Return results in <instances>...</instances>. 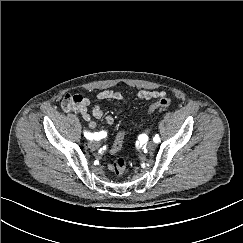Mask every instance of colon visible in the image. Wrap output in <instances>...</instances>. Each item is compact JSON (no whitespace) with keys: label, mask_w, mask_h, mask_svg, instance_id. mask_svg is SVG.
Here are the masks:
<instances>
[{"label":"colon","mask_w":243,"mask_h":243,"mask_svg":"<svg viewBox=\"0 0 243 243\" xmlns=\"http://www.w3.org/2000/svg\"><path fill=\"white\" fill-rule=\"evenodd\" d=\"M83 101V97L81 95L75 94H67L62 102V106L66 111H74ZM173 100L171 97H162L155 103H153L150 107L148 112L152 113L157 109L168 107L172 104ZM125 135L124 133L118 134L116 137L113 146H112V153L117 154L124 142ZM127 168V160L124 156H118L114 163H113V171L116 175L120 176L123 175Z\"/></svg>","instance_id":"5ec220e1"}]
</instances>
